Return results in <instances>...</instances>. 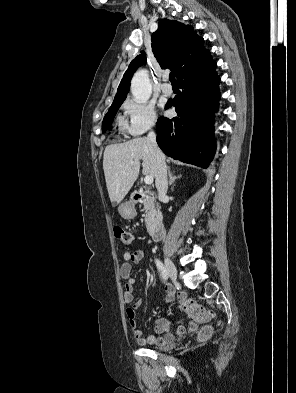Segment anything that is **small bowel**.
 I'll list each match as a JSON object with an SVG mask.
<instances>
[{"label": "small bowel", "mask_w": 296, "mask_h": 393, "mask_svg": "<svg viewBox=\"0 0 296 393\" xmlns=\"http://www.w3.org/2000/svg\"><path fill=\"white\" fill-rule=\"evenodd\" d=\"M145 256L144 250H136L133 252H125L123 255V263L120 265L119 271L121 277L124 279V294L123 300L127 304H132L126 310L129 324L132 328V332L137 341L141 344L159 345L163 346L174 339V335L169 332V321L167 319L161 318L156 321L155 332L143 336V332L137 327V309L142 305V300L135 301V285L136 280L131 276L133 264L139 263ZM165 294L166 301L168 303L172 302L177 296L182 307V302L187 299L184 292H178L169 284H165ZM198 322L191 319L187 325H179L176 327L175 333L178 336H183L187 333L194 332L198 327Z\"/></svg>", "instance_id": "obj_1"}]
</instances>
